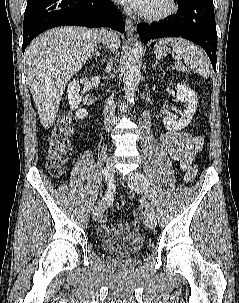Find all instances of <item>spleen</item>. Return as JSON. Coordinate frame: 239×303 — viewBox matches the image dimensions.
<instances>
[{"label":"spleen","mask_w":239,"mask_h":303,"mask_svg":"<svg viewBox=\"0 0 239 303\" xmlns=\"http://www.w3.org/2000/svg\"><path fill=\"white\" fill-rule=\"evenodd\" d=\"M162 45H169L176 54L180 55L184 63L199 73L202 77L208 78L211 71L210 60L205 51L194 43L182 38H166L159 42Z\"/></svg>","instance_id":"3e777b00"}]
</instances>
